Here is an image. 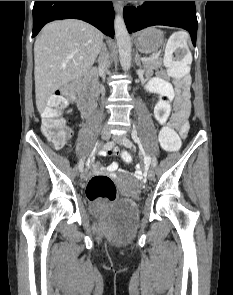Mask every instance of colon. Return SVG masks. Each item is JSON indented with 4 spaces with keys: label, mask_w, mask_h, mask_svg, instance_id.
<instances>
[{
    "label": "colon",
    "mask_w": 233,
    "mask_h": 295,
    "mask_svg": "<svg viewBox=\"0 0 233 295\" xmlns=\"http://www.w3.org/2000/svg\"><path fill=\"white\" fill-rule=\"evenodd\" d=\"M190 60L187 36L183 33L174 34L167 46L165 64L179 91L189 89L190 81L187 74ZM81 87L80 81L70 82L49 99L43 110L42 130L48 141L55 147L65 145L70 138L69 120L62 118L61 115L67 108V97L76 96ZM159 142L164 150L175 152L180 147L181 138L171 127H163L160 131ZM121 159L126 164L132 163V156L127 151L121 153ZM86 194L93 203L106 205L116 199L117 189L110 177L97 174L88 181Z\"/></svg>",
    "instance_id": "obj_1"
}]
</instances>
